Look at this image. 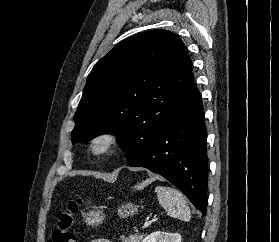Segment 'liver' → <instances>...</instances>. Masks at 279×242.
Instances as JSON below:
<instances>
[{"label": "liver", "instance_id": "obj_1", "mask_svg": "<svg viewBox=\"0 0 279 242\" xmlns=\"http://www.w3.org/2000/svg\"><path fill=\"white\" fill-rule=\"evenodd\" d=\"M150 182H151V180H147V181L141 183L140 185H137L136 188H137V189L143 188V187H145L146 185H148Z\"/></svg>", "mask_w": 279, "mask_h": 242}]
</instances>
